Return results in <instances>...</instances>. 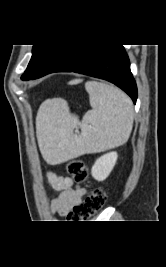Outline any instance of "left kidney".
<instances>
[{
	"mask_svg": "<svg viewBox=\"0 0 166 267\" xmlns=\"http://www.w3.org/2000/svg\"><path fill=\"white\" fill-rule=\"evenodd\" d=\"M117 157L118 155L116 152H109L99 157L91 169L93 178L97 181L105 180L111 173Z\"/></svg>",
	"mask_w": 166,
	"mask_h": 267,
	"instance_id": "5707ae66",
	"label": "left kidney"
}]
</instances>
